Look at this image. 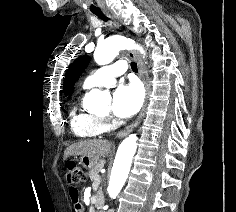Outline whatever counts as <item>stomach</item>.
I'll return each mask as SVG.
<instances>
[{"label":"stomach","mask_w":236,"mask_h":212,"mask_svg":"<svg viewBox=\"0 0 236 212\" xmlns=\"http://www.w3.org/2000/svg\"><path fill=\"white\" fill-rule=\"evenodd\" d=\"M85 169L91 170L99 163V159L89 155H84L80 157L79 162Z\"/></svg>","instance_id":"1"}]
</instances>
